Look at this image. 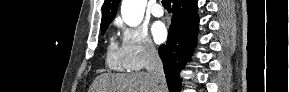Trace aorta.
<instances>
[{"label":"aorta","mask_w":289,"mask_h":92,"mask_svg":"<svg viewBox=\"0 0 289 92\" xmlns=\"http://www.w3.org/2000/svg\"><path fill=\"white\" fill-rule=\"evenodd\" d=\"M147 0H123L121 15L123 21L129 26L139 25L144 17Z\"/></svg>","instance_id":"1"}]
</instances>
